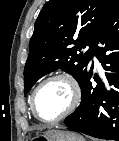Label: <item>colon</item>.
<instances>
[{"mask_svg":"<svg viewBox=\"0 0 119 141\" xmlns=\"http://www.w3.org/2000/svg\"><path fill=\"white\" fill-rule=\"evenodd\" d=\"M35 141H47V140L44 137L39 136L35 139Z\"/></svg>","mask_w":119,"mask_h":141,"instance_id":"1","label":"colon"}]
</instances>
